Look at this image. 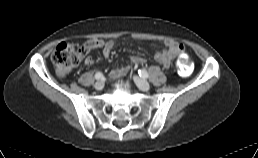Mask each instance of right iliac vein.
<instances>
[{
    "label": "right iliac vein",
    "instance_id": "obj_1",
    "mask_svg": "<svg viewBox=\"0 0 258 158\" xmlns=\"http://www.w3.org/2000/svg\"><path fill=\"white\" fill-rule=\"evenodd\" d=\"M96 90H102L104 87V82L103 81H97L94 85Z\"/></svg>",
    "mask_w": 258,
    "mask_h": 158
}]
</instances>
